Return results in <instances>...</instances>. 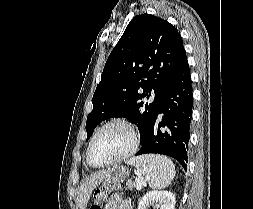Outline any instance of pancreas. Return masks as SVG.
I'll use <instances>...</instances> for the list:
<instances>
[{
	"mask_svg": "<svg viewBox=\"0 0 253 209\" xmlns=\"http://www.w3.org/2000/svg\"><path fill=\"white\" fill-rule=\"evenodd\" d=\"M126 188L127 189H129V190H132L134 187H136V183L135 182H133V181H131V180H129V181H127V183H126Z\"/></svg>",
	"mask_w": 253,
	"mask_h": 209,
	"instance_id": "cf45deb5",
	"label": "pancreas"
}]
</instances>
